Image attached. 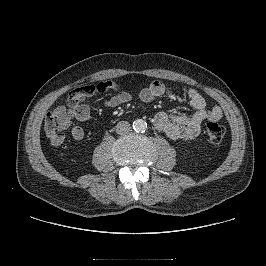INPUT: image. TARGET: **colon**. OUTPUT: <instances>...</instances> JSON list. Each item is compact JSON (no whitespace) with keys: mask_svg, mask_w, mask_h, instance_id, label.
Returning <instances> with one entry per match:
<instances>
[{"mask_svg":"<svg viewBox=\"0 0 266 266\" xmlns=\"http://www.w3.org/2000/svg\"><path fill=\"white\" fill-rule=\"evenodd\" d=\"M116 85L111 81H103L99 83L89 84L73 90L69 97L75 98L77 96L89 98L98 94L105 93L109 90L115 89ZM225 136V128L221 124L211 121L206 126V140L210 144H219Z\"/></svg>","mask_w":266,"mask_h":266,"instance_id":"obj_1","label":"colon"}]
</instances>
